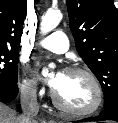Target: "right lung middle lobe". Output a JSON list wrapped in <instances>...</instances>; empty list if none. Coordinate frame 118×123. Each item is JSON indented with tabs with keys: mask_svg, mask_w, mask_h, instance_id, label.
<instances>
[{
	"mask_svg": "<svg viewBox=\"0 0 118 123\" xmlns=\"http://www.w3.org/2000/svg\"><path fill=\"white\" fill-rule=\"evenodd\" d=\"M18 50L0 48V84H17Z\"/></svg>",
	"mask_w": 118,
	"mask_h": 123,
	"instance_id": "1",
	"label": "right lung middle lobe"
}]
</instances>
